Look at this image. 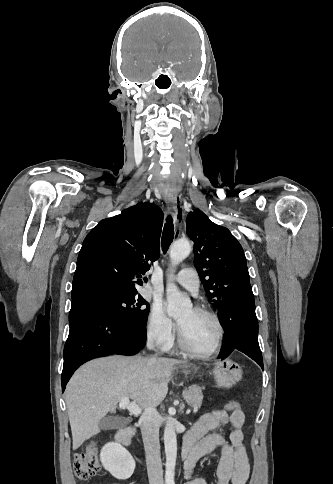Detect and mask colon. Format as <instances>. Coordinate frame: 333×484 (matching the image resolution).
I'll return each mask as SVG.
<instances>
[{"label": "colon", "instance_id": "obj_1", "mask_svg": "<svg viewBox=\"0 0 333 484\" xmlns=\"http://www.w3.org/2000/svg\"><path fill=\"white\" fill-rule=\"evenodd\" d=\"M226 411H235L241 409L239 402L230 401L222 408ZM73 467L75 475L82 481H88L94 478L100 470L98 459V448L95 443L87 446L85 451L78 452L74 455Z\"/></svg>", "mask_w": 333, "mask_h": 484}]
</instances>
